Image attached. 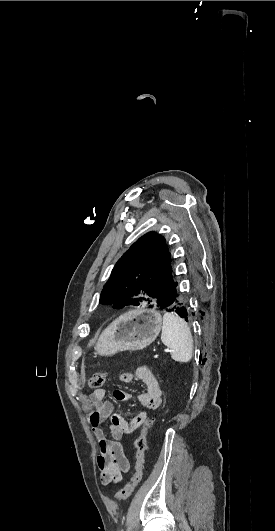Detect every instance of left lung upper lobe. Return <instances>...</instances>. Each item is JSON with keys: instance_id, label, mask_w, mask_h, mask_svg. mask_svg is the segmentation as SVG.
<instances>
[{"instance_id": "left-lung-upper-lobe-1", "label": "left lung upper lobe", "mask_w": 275, "mask_h": 531, "mask_svg": "<svg viewBox=\"0 0 275 531\" xmlns=\"http://www.w3.org/2000/svg\"><path fill=\"white\" fill-rule=\"evenodd\" d=\"M171 256L164 237L148 232L118 260L100 295V303L164 308L174 299Z\"/></svg>"}]
</instances>
